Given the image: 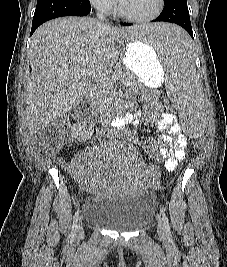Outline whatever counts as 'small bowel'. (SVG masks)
Segmentation results:
<instances>
[{"mask_svg":"<svg viewBox=\"0 0 227 267\" xmlns=\"http://www.w3.org/2000/svg\"><path fill=\"white\" fill-rule=\"evenodd\" d=\"M141 118L156 125L163 133L156 138L143 134L139 130ZM111 127L114 134L124 133L131 129L133 140L145 147L152 156L163 158L164 169L169 172L177 169L178 160L181 155H184L188 144L177 116H169L167 111L161 110L159 102L154 100L148 101L142 112L115 117L111 122ZM65 168L78 183L83 186L87 184L90 171L81 158L66 163Z\"/></svg>","mask_w":227,"mask_h":267,"instance_id":"small-bowel-1","label":"small bowel"}]
</instances>
